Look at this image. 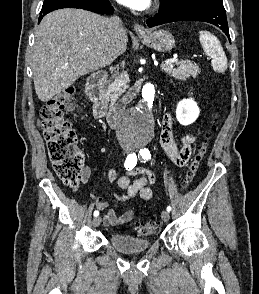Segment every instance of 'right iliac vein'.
<instances>
[{
	"mask_svg": "<svg viewBox=\"0 0 259 294\" xmlns=\"http://www.w3.org/2000/svg\"><path fill=\"white\" fill-rule=\"evenodd\" d=\"M101 221H102L101 217H99V216L98 217H95L93 219V226L94 227H98L100 225Z\"/></svg>",
	"mask_w": 259,
	"mask_h": 294,
	"instance_id": "obj_1",
	"label": "right iliac vein"
}]
</instances>
